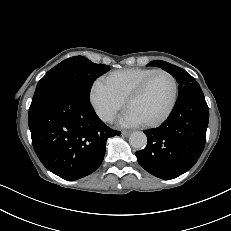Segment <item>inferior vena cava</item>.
I'll return each mask as SVG.
<instances>
[{
  "instance_id": "obj_1",
  "label": "inferior vena cava",
  "mask_w": 231,
  "mask_h": 231,
  "mask_svg": "<svg viewBox=\"0 0 231 231\" xmlns=\"http://www.w3.org/2000/svg\"><path fill=\"white\" fill-rule=\"evenodd\" d=\"M99 116L103 121H112L114 119V113L112 112H101Z\"/></svg>"
}]
</instances>
